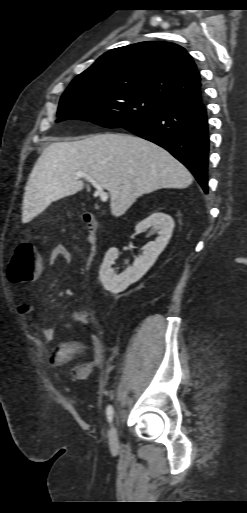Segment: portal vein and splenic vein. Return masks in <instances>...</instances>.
Returning a JSON list of instances; mask_svg holds the SVG:
<instances>
[{
	"mask_svg": "<svg viewBox=\"0 0 247 513\" xmlns=\"http://www.w3.org/2000/svg\"><path fill=\"white\" fill-rule=\"evenodd\" d=\"M75 179L79 178H86L88 181L92 183V185L96 188V194L100 197L102 202H106L108 199V194L103 190V187L95 181L90 175L83 173V172H77L74 174Z\"/></svg>",
	"mask_w": 247,
	"mask_h": 513,
	"instance_id": "portal-vein-and-splenic-vein-1",
	"label": "portal vein and splenic vein"
}]
</instances>
